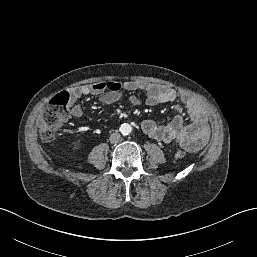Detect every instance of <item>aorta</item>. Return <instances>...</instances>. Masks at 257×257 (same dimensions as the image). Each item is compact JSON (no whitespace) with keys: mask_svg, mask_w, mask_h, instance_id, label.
<instances>
[{"mask_svg":"<svg viewBox=\"0 0 257 257\" xmlns=\"http://www.w3.org/2000/svg\"><path fill=\"white\" fill-rule=\"evenodd\" d=\"M120 132L123 134V135H128L132 132V127L130 124L128 123H123L121 126H120Z\"/></svg>","mask_w":257,"mask_h":257,"instance_id":"762f6f07","label":"aorta"}]
</instances>
